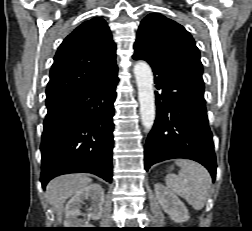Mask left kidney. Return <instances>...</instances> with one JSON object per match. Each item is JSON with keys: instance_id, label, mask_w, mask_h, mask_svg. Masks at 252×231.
Returning a JSON list of instances; mask_svg holds the SVG:
<instances>
[{"instance_id": "1", "label": "left kidney", "mask_w": 252, "mask_h": 231, "mask_svg": "<svg viewBox=\"0 0 252 231\" xmlns=\"http://www.w3.org/2000/svg\"><path fill=\"white\" fill-rule=\"evenodd\" d=\"M154 187L156 198L165 213H167L174 222L182 223L188 221L189 214L185 204L162 184H155Z\"/></svg>"}]
</instances>
